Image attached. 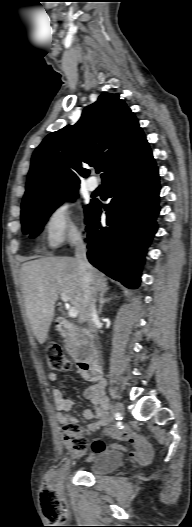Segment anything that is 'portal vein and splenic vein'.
<instances>
[{
  "label": "portal vein and splenic vein",
  "mask_w": 192,
  "mask_h": 527,
  "mask_svg": "<svg viewBox=\"0 0 192 527\" xmlns=\"http://www.w3.org/2000/svg\"><path fill=\"white\" fill-rule=\"evenodd\" d=\"M61 300L64 302V303H67L69 301L68 297L62 293L61 294ZM68 315L71 317V318H76L78 316V311L77 309H75L74 307H70L68 309Z\"/></svg>",
  "instance_id": "obj_1"
}]
</instances>
